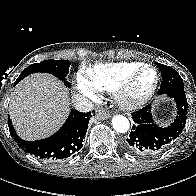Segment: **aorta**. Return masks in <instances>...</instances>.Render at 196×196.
Returning <instances> with one entry per match:
<instances>
[{"label":"aorta","instance_id":"obj_1","mask_svg":"<svg viewBox=\"0 0 196 196\" xmlns=\"http://www.w3.org/2000/svg\"><path fill=\"white\" fill-rule=\"evenodd\" d=\"M112 126L119 133H126L129 130V120L123 115H115L112 118Z\"/></svg>","mask_w":196,"mask_h":196}]
</instances>
